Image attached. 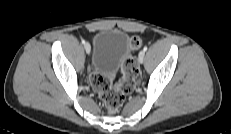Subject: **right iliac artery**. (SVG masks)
<instances>
[{"mask_svg":"<svg viewBox=\"0 0 231 134\" xmlns=\"http://www.w3.org/2000/svg\"><path fill=\"white\" fill-rule=\"evenodd\" d=\"M81 42H82V44H85V40H82Z\"/></svg>","mask_w":231,"mask_h":134,"instance_id":"right-iliac-artery-1","label":"right iliac artery"}]
</instances>
